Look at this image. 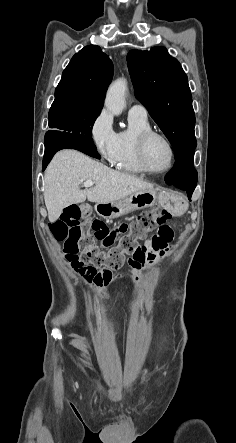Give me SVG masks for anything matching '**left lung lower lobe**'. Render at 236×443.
<instances>
[{"mask_svg":"<svg viewBox=\"0 0 236 443\" xmlns=\"http://www.w3.org/2000/svg\"><path fill=\"white\" fill-rule=\"evenodd\" d=\"M197 176L194 168V149H190L176 158L172 170L165 176V181L168 185L187 191L188 198L191 200L197 184Z\"/></svg>","mask_w":236,"mask_h":443,"instance_id":"left-lung-lower-lobe-1","label":"left lung lower lobe"}]
</instances>
